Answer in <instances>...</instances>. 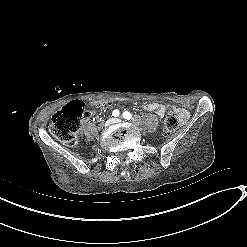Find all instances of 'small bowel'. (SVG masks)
Masks as SVG:
<instances>
[{
	"label": "small bowel",
	"instance_id": "small-bowel-1",
	"mask_svg": "<svg viewBox=\"0 0 247 247\" xmlns=\"http://www.w3.org/2000/svg\"><path fill=\"white\" fill-rule=\"evenodd\" d=\"M105 104H110V102H106ZM142 109L148 112H154L160 119H162L167 111V105L161 102H152L142 105ZM174 110L177 112L180 121H185L187 119L188 112L185 109L175 107Z\"/></svg>",
	"mask_w": 247,
	"mask_h": 247
}]
</instances>
